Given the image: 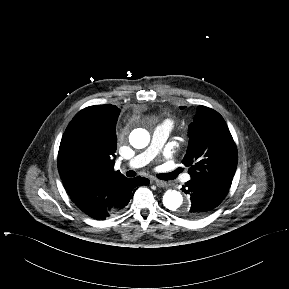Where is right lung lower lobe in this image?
Returning a JSON list of instances; mask_svg holds the SVG:
<instances>
[{"label":"right lung lower lobe","instance_id":"1","mask_svg":"<svg viewBox=\"0 0 289 289\" xmlns=\"http://www.w3.org/2000/svg\"><path fill=\"white\" fill-rule=\"evenodd\" d=\"M149 180L147 178L142 177H136L132 179H128L120 188L119 195L116 198V201L110 210L106 215L100 216V217H93L95 219H105L106 217L110 216L111 214H114L115 212H118L122 210L130 201V198L134 195V192L136 191V187L140 185H148Z\"/></svg>","mask_w":289,"mask_h":289}]
</instances>
